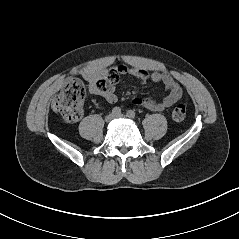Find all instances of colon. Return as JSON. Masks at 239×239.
Returning a JSON list of instances; mask_svg holds the SVG:
<instances>
[{"instance_id":"obj_1","label":"colon","mask_w":239,"mask_h":239,"mask_svg":"<svg viewBox=\"0 0 239 239\" xmlns=\"http://www.w3.org/2000/svg\"><path fill=\"white\" fill-rule=\"evenodd\" d=\"M112 78L97 81V87L104 89ZM87 96L85 84L78 78H69L64 83L61 93L53 102V110L60 114L65 122L73 123L78 121L83 113V103ZM186 107L183 104L177 105L172 111V118L181 122L185 119Z\"/></svg>"}]
</instances>
